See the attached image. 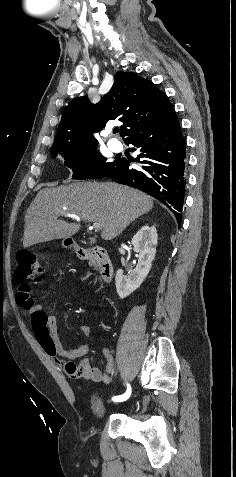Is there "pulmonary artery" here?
<instances>
[{"instance_id":"1","label":"pulmonary artery","mask_w":236,"mask_h":477,"mask_svg":"<svg viewBox=\"0 0 236 477\" xmlns=\"http://www.w3.org/2000/svg\"><path fill=\"white\" fill-rule=\"evenodd\" d=\"M108 146L114 151H119L121 149V143L113 138L108 140Z\"/></svg>"}]
</instances>
